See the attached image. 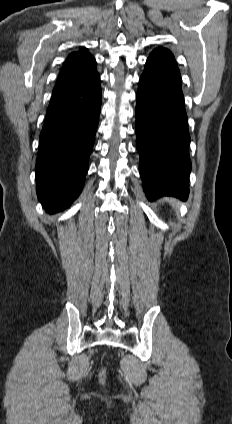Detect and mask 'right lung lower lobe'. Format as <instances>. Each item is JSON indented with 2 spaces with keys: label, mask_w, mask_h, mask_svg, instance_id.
Returning <instances> with one entry per match:
<instances>
[{
  "label": "right lung lower lobe",
  "mask_w": 232,
  "mask_h": 424,
  "mask_svg": "<svg viewBox=\"0 0 232 424\" xmlns=\"http://www.w3.org/2000/svg\"><path fill=\"white\" fill-rule=\"evenodd\" d=\"M99 81L94 74L53 90L36 160L37 195L49 213L69 207L83 188L101 109Z\"/></svg>",
  "instance_id": "right-lung-lower-lobe-1"
}]
</instances>
